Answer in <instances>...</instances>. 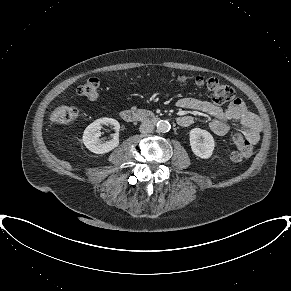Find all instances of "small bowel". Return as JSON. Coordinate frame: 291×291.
<instances>
[{
  "instance_id": "small-bowel-1",
  "label": "small bowel",
  "mask_w": 291,
  "mask_h": 291,
  "mask_svg": "<svg viewBox=\"0 0 291 291\" xmlns=\"http://www.w3.org/2000/svg\"><path fill=\"white\" fill-rule=\"evenodd\" d=\"M177 106L184 109L197 110L211 117L209 127L211 131L219 136L225 135L229 130L231 121H239L245 137L251 144L258 142L260 137L261 123L259 118L248 110L245 103L237 98L225 108L210 101L193 97H184L177 101ZM177 122L186 127L192 124L193 118L189 115H181Z\"/></svg>"
}]
</instances>
